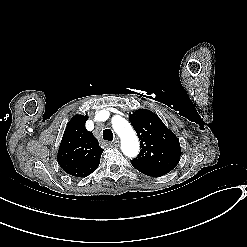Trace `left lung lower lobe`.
<instances>
[{"label":"left lung lower lobe","instance_id":"obj_1","mask_svg":"<svg viewBox=\"0 0 247 247\" xmlns=\"http://www.w3.org/2000/svg\"><path fill=\"white\" fill-rule=\"evenodd\" d=\"M134 168H136L139 172H141L145 175L153 176V177L163 176L166 174V173H163V172L158 171V170L148 169V168H144V167H140V166H134Z\"/></svg>","mask_w":247,"mask_h":247}]
</instances>
